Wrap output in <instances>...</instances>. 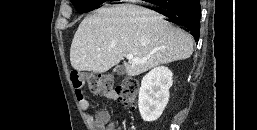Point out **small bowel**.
<instances>
[{
	"instance_id": "obj_1",
	"label": "small bowel",
	"mask_w": 257,
	"mask_h": 130,
	"mask_svg": "<svg viewBox=\"0 0 257 130\" xmlns=\"http://www.w3.org/2000/svg\"><path fill=\"white\" fill-rule=\"evenodd\" d=\"M80 108L85 112L87 121L93 130H116L115 119H112L108 112L102 111L94 118L89 112V102L86 98L78 99Z\"/></svg>"
}]
</instances>
